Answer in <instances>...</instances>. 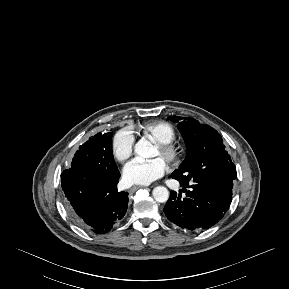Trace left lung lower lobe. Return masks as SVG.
I'll use <instances>...</instances> for the list:
<instances>
[{"label":"left lung lower lobe","mask_w":289,"mask_h":289,"mask_svg":"<svg viewBox=\"0 0 289 289\" xmlns=\"http://www.w3.org/2000/svg\"><path fill=\"white\" fill-rule=\"evenodd\" d=\"M186 192V197H181L182 192L170 193L164 212L168 220L183 229L199 230L208 229L215 225L229 209L232 201V189L206 180L186 183L174 176Z\"/></svg>","instance_id":"0a47b994"}]
</instances>
